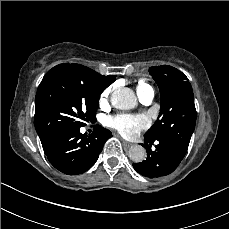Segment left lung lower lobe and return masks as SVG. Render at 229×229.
Wrapping results in <instances>:
<instances>
[{
  "label": "left lung lower lobe",
  "instance_id": "left-lung-lower-lobe-1",
  "mask_svg": "<svg viewBox=\"0 0 229 229\" xmlns=\"http://www.w3.org/2000/svg\"><path fill=\"white\" fill-rule=\"evenodd\" d=\"M145 144H141L147 149V159L141 163H133L134 169L141 175L149 178H157L172 173L184 158L186 151L168 141L153 140L144 137ZM155 142V150L150 146Z\"/></svg>",
  "mask_w": 229,
  "mask_h": 229
}]
</instances>
